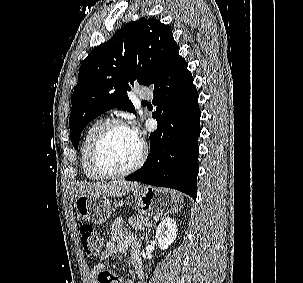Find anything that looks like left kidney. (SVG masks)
Listing matches in <instances>:
<instances>
[{
    "label": "left kidney",
    "mask_w": 303,
    "mask_h": 283,
    "mask_svg": "<svg viewBox=\"0 0 303 283\" xmlns=\"http://www.w3.org/2000/svg\"><path fill=\"white\" fill-rule=\"evenodd\" d=\"M177 224L174 219L166 218L164 219L156 229V239L160 249H167L177 237Z\"/></svg>",
    "instance_id": "obj_1"
}]
</instances>
